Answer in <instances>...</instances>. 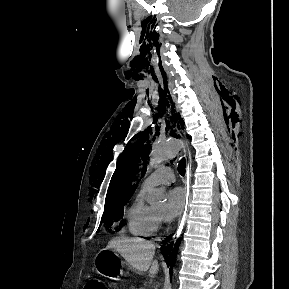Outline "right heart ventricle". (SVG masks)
Listing matches in <instances>:
<instances>
[{"label":"right heart ventricle","mask_w":289,"mask_h":289,"mask_svg":"<svg viewBox=\"0 0 289 289\" xmlns=\"http://www.w3.org/2000/svg\"><path fill=\"white\" fill-rule=\"evenodd\" d=\"M145 190H140L126 210L127 228L138 237H150L157 231V223L151 213V208L144 200Z\"/></svg>","instance_id":"obj_1"}]
</instances>
